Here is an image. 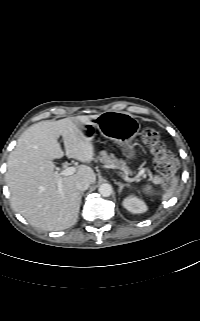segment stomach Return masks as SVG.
<instances>
[{
  "instance_id": "1",
  "label": "stomach",
  "mask_w": 200,
  "mask_h": 321,
  "mask_svg": "<svg viewBox=\"0 0 200 321\" xmlns=\"http://www.w3.org/2000/svg\"><path fill=\"white\" fill-rule=\"evenodd\" d=\"M95 129H98L104 137L122 143L123 152L129 158L133 156L132 141L140 130V125L133 116L126 112H103L83 124V131L90 139L95 135Z\"/></svg>"
}]
</instances>
